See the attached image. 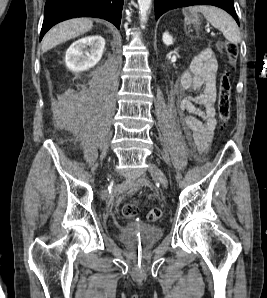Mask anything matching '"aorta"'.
I'll list each match as a JSON object with an SVG mask.
<instances>
[{
    "mask_svg": "<svg viewBox=\"0 0 267 298\" xmlns=\"http://www.w3.org/2000/svg\"><path fill=\"white\" fill-rule=\"evenodd\" d=\"M151 4H152V0H138L141 24H144L147 22V19H148L147 15L151 7Z\"/></svg>",
    "mask_w": 267,
    "mask_h": 298,
    "instance_id": "1",
    "label": "aorta"
}]
</instances>
